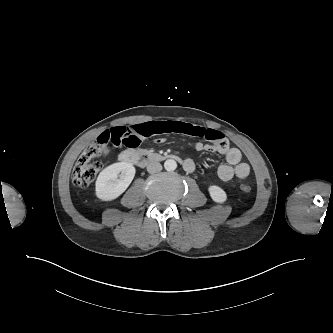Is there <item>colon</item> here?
Wrapping results in <instances>:
<instances>
[{"label": "colon", "instance_id": "colon-1", "mask_svg": "<svg viewBox=\"0 0 333 333\" xmlns=\"http://www.w3.org/2000/svg\"><path fill=\"white\" fill-rule=\"evenodd\" d=\"M107 141L97 139L91 143L78 158L72 173L74 184L80 187L88 186L101 169L99 159L108 154ZM241 189L245 193L250 192V187L241 184Z\"/></svg>", "mask_w": 333, "mask_h": 333}]
</instances>
